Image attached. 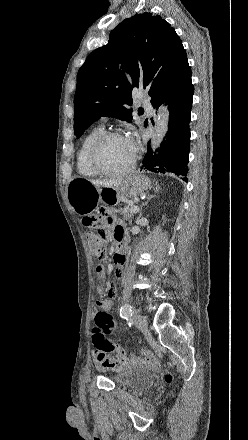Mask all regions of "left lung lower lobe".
Returning <instances> with one entry per match:
<instances>
[{"label":"left lung lower lobe","mask_w":248,"mask_h":440,"mask_svg":"<svg viewBox=\"0 0 248 440\" xmlns=\"http://www.w3.org/2000/svg\"><path fill=\"white\" fill-rule=\"evenodd\" d=\"M194 86L191 79L171 89L160 101L152 106L158 108L167 102L170 112L166 139L154 153L151 148L143 159L142 168L155 173L172 172L187 175L190 144V113ZM187 181V178H182Z\"/></svg>","instance_id":"obj_1"}]
</instances>
